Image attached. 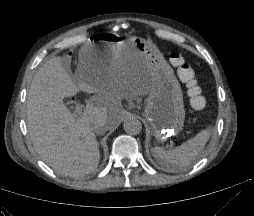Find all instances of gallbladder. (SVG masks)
<instances>
[{
  "instance_id": "gallbladder-1",
  "label": "gallbladder",
  "mask_w": 254,
  "mask_h": 216,
  "mask_svg": "<svg viewBox=\"0 0 254 216\" xmlns=\"http://www.w3.org/2000/svg\"><path fill=\"white\" fill-rule=\"evenodd\" d=\"M68 65H69V64L67 63L66 58L64 57V58H63V66H64L65 68H67Z\"/></svg>"
}]
</instances>
